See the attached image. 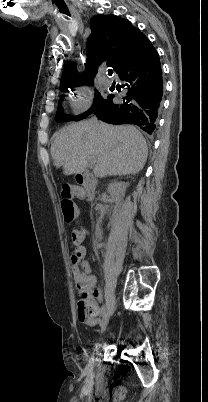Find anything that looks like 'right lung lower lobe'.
Instances as JSON below:
<instances>
[{"mask_svg":"<svg viewBox=\"0 0 208 402\" xmlns=\"http://www.w3.org/2000/svg\"><path fill=\"white\" fill-rule=\"evenodd\" d=\"M117 74L127 82L126 96L95 114L103 122L135 124L152 134L162 104L163 79L159 55L144 34L120 60Z\"/></svg>","mask_w":208,"mask_h":402,"instance_id":"98d812e1","label":"right lung lower lobe"}]
</instances>
